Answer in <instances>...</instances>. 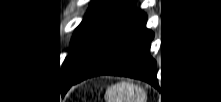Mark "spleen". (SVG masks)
I'll use <instances>...</instances> for the list:
<instances>
[{
  "label": "spleen",
  "instance_id": "spleen-1",
  "mask_svg": "<svg viewBox=\"0 0 221 102\" xmlns=\"http://www.w3.org/2000/svg\"><path fill=\"white\" fill-rule=\"evenodd\" d=\"M107 102H144L145 92L129 82H119L106 90Z\"/></svg>",
  "mask_w": 221,
  "mask_h": 102
}]
</instances>
